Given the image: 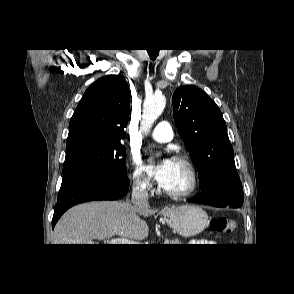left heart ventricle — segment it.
Listing matches in <instances>:
<instances>
[{"label": "left heart ventricle", "mask_w": 294, "mask_h": 294, "mask_svg": "<svg viewBox=\"0 0 294 294\" xmlns=\"http://www.w3.org/2000/svg\"><path fill=\"white\" fill-rule=\"evenodd\" d=\"M188 184L189 175L186 168L174 161L172 170L162 187L169 191H181L187 188Z\"/></svg>", "instance_id": "b2bd125f"}]
</instances>
